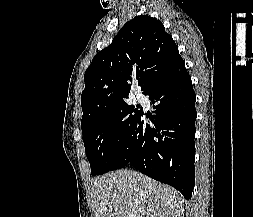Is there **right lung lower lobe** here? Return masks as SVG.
<instances>
[{"label": "right lung lower lobe", "mask_w": 253, "mask_h": 217, "mask_svg": "<svg viewBox=\"0 0 253 217\" xmlns=\"http://www.w3.org/2000/svg\"><path fill=\"white\" fill-rule=\"evenodd\" d=\"M155 109L142 111L112 170L131 164L140 172L179 190L188 200L195 183V92L181 60L146 91ZM149 118L153 125L145 120Z\"/></svg>", "instance_id": "98d812e1"}]
</instances>
